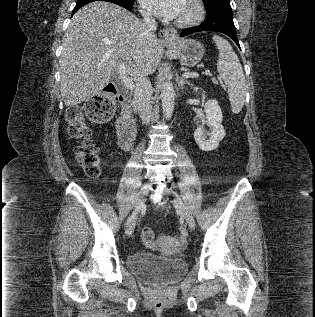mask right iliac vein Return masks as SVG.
I'll use <instances>...</instances> for the list:
<instances>
[{
	"label": "right iliac vein",
	"mask_w": 315,
	"mask_h": 317,
	"mask_svg": "<svg viewBox=\"0 0 315 317\" xmlns=\"http://www.w3.org/2000/svg\"><path fill=\"white\" fill-rule=\"evenodd\" d=\"M149 192V187L148 185H143L141 187V189L138 192L137 195V199L135 202V206H134V212L137 214V212H139V210L141 209V207L143 206L145 197L147 196ZM135 224H136V219L135 217L128 223L127 228H126V235L127 236H131L134 228H135Z\"/></svg>",
	"instance_id": "right-iliac-vein-1"
}]
</instances>
